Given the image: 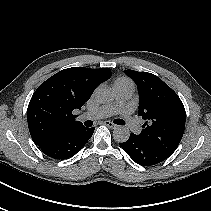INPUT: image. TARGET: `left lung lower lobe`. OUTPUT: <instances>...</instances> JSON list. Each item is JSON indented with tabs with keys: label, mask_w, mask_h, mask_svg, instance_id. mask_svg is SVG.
Here are the masks:
<instances>
[{
	"label": "left lung lower lobe",
	"mask_w": 211,
	"mask_h": 211,
	"mask_svg": "<svg viewBox=\"0 0 211 211\" xmlns=\"http://www.w3.org/2000/svg\"><path fill=\"white\" fill-rule=\"evenodd\" d=\"M119 144L134 162L142 166L155 165L169 157L133 133L127 141Z\"/></svg>",
	"instance_id": "1"
}]
</instances>
